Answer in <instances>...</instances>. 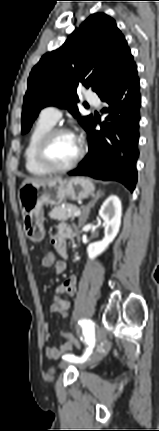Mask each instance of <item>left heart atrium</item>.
<instances>
[{
    "mask_svg": "<svg viewBox=\"0 0 159 431\" xmlns=\"http://www.w3.org/2000/svg\"><path fill=\"white\" fill-rule=\"evenodd\" d=\"M75 136V135H74ZM75 138H76V140L78 141V143H79V138L77 137V136H75Z\"/></svg>",
    "mask_w": 159,
    "mask_h": 431,
    "instance_id": "left-heart-atrium-1",
    "label": "left heart atrium"
}]
</instances>
